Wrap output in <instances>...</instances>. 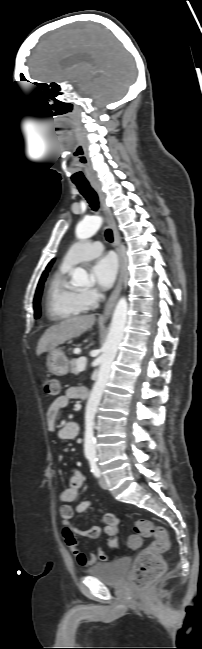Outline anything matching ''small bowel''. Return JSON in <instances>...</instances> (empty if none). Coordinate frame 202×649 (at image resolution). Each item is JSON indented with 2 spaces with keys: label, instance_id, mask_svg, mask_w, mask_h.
<instances>
[{
  "label": "small bowel",
  "instance_id": "obj_1",
  "mask_svg": "<svg viewBox=\"0 0 202 649\" xmlns=\"http://www.w3.org/2000/svg\"><path fill=\"white\" fill-rule=\"evenodd\" d=\"M85 390L86 389L81 386H71L67 388L64 395L59 396L49 405L46 411V424L49 432L52 433L55 438L69 440L77 435L78 424L76 421L69 420L62 426H59L58 418L60 411L68 406L70 400L84 398ZM83 483L84 478L82 473L78 469L73 468L71 470L68 486L60 495L62 502L65 503V505L60 509V515L64 525L63 537L66 544L73 551L81 566H90L95 564L97 561H107L109 556L102 550L100 545L96 547L95 552L87 553L79 550L78 537L81 536L96 539L101 533H104L108 536V546L110 550L114 552L118 546L117 536L120 519L112 513H105L103 514V521L105 523L103 527L94 526L89 529H80L72 524L75 513H83L92 506L90 501L79 503L75 509L69 505L78 498L79 490L83 486Z\"/></svg>",
  "mask_w": 202,
  "mask_h": 649
}]
</instances>
